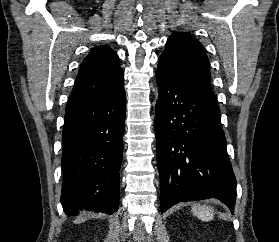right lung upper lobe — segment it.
<instances>
[{
	"label": "right lung upper lobe",
	"mask_w": 279,
	"mask_h": 242,
	"mask_svg": "<svg viewBox=\"0 0 279 242\" xmlns=\"http://www.w3.org/2000/svg\"><path fill=\"white\" fill-rule=\"evenodd\" d=\"M123 80L124 73L116 52L104 45L95 47L80 65L67 104L112 94L123 86Z\"/></svg>",
	"instance_id": "1"
}]
</instances>
